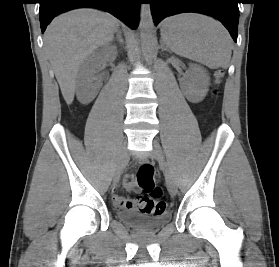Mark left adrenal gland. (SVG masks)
<instances>
[{
  "label": "left adrenal gland",
  "mask_w": 279,
  "mask_h": 267,
  "mask_svg": "<svg viewBox=\"0 0 279 267\" xmlns=\"http://www.w3.org/2000/svg\"><path fill=\"white\" fill-rule=\"evenodd\" d=\"M162 51H169V49L162 44Z\"/></svg>",
  "instance_id": "1"
}]
</instances>
